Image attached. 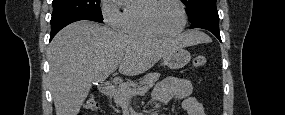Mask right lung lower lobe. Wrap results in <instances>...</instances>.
I'll return each instance as SVG.
<instances>
[{
	"label": "right lung lower lobe",
	"instance_id": "98d812e1",
	"mask_svg": "<svg viewBox=\"0 0 285 115\" xmlns=\"http://www.w3.org/2000/svg\"><path fill=\"white\" fill-rule=\"evenodd\" d=\"M78 20H83V19H72V20H67L64 22H61L55 26L51 27V34H50V41L52 40V38L65 26H67L68 24L78 21Z\"/></svg>",
	"mask_w": 285,
	"mask_h": 115
}]
</instances>
